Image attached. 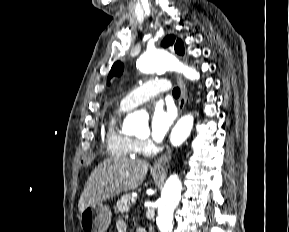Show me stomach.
I'll use <instances>...</instances> for the list:
<instances>
[{
    "instance_id": "0dacf381",
    "label": "stomach",
    "mask_w": 289,
    "mask_h": 232,
    "mask_svg": "<svg viewBox=\"0 0 289 232\" xmlns=\"http://www.w3.org/2000/svg\"><path fill=\"white\" fill-rule=\"evenodd\" d=\"M157 175L158 172H153ZM111 211L102 202L89 205L80 213V226L83 232H105L111 222Z\"/></svg>"
}]
</instances>
